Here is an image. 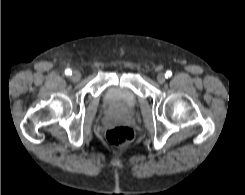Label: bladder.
Segmentation results:
<instances>
[{
    "label": "bladder",
    "instance_id": "obj_1",
    "mask_svg": "<svg viewBox=\"0 0 245 195\" xmlns=\"http://www.w3.org/2000/svg\"><path fill=\"white\" fill-rule=\"evenodd\" d=\"M105 101L109 106L128 110L137 105L138 97L129 88L112 87L106 92Z\"/></svg>",
    "mask_w": 245,
    "mask_h": 195
}]
</instances>
